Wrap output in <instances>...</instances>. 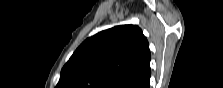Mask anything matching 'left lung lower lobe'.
<instances>
[{"label":"left lung lower lobe","instance_id":"obj_1","mask_svg":"<svg viewBox=\"0 0 223 88\" xmlns=\"http://www.w3.org/2000/svg\"><path fill=\"white\" fill-rule=\"evenodd\" d=\"M149 79H150V76H148L146 79H144L138 85H136L135 88H149Z\"/></svg>","mask_w":223,"mask_h":88}]
</instances>
